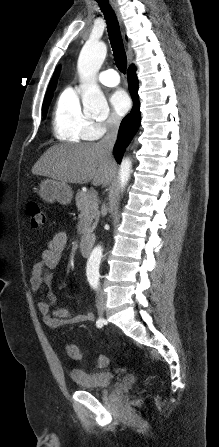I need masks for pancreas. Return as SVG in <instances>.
Masks as SVG:
<instances>
[{
    "instance_id": "pancreas-1",
    "label": "pancreas",
    "mask_w": 219,
    "mask_h": 447,
    "mask_svg": "<svg viewBox=\"0 0 219 447\" xmlns=\"http://www.w3.org/2000/svg\"><path fill=\"white\" fill-rule=\"evenodd\" d=\"M75 201L78 210L85 213L82 224V238H84L97 225L99 219L98 199L91 194V191L83 192L79 190Z\"/></svg>"
}]
</instances>
